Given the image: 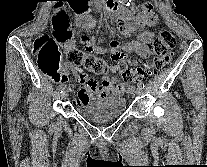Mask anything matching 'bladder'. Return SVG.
<instances>
[{
    "instance_id": "obj_1",
    "label": "bladder",
    "mask_w": 207,
    "mask_h": 167,
    "mask_svg": "<svg viewBox=\"0 0 207 167\" xmlns=\"http://www.w3.org/2000/svg\"><path fill=\"white\" fill-rule=\"evenodd\" d=\"M126 109V100L121 96L108 95L89 100L85 104L77 105V112L83 118L104 123L119 118Z\"/></svg>"
}]
</instances>
